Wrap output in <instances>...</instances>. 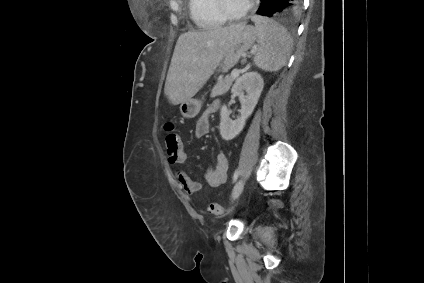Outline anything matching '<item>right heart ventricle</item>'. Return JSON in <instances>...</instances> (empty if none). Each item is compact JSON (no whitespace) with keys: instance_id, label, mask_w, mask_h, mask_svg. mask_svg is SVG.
Returning a JSON list of instances; mask_svg holds the SVG:
<instances>
[{"instance_id":"e07e8e85","label":"right heart ventricle","mask_w":424,"mask_h":283,"mask_svg":"<svg viewBox=\"0 0 424 283\" xmlns=\"http://www.w3.org/2000/svg\"><path fill=\"white\" fill-rule=\"evenodd\" d=\"M190 17L203 30L223 26L226 20L217 8V0H188Z\"/></svg>"}]
</instances>
